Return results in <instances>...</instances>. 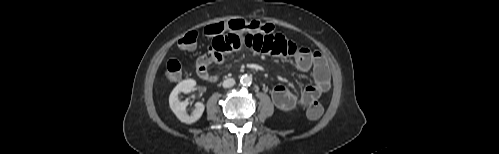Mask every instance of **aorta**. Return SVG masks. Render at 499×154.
Segmentation results:
<instances>
[{"label":"aorta","instance_id":"obj_1","mask_svg":"<svg viewBox=\"0 0 499 154\" xmlns=\"http://www.w3.org/2000/svg\"><path fill=\"white\" fill-rule=\"evenodd\" d=\"M240 83L243 85V86H249L251 83H252V78L251 76L245 74V75H242V77L240 78Z\"/></svg>","mask_w":499,"mask_h":154}]
</instances>
